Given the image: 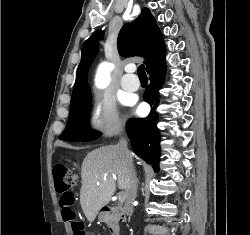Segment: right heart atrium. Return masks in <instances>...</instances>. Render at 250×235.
<instances>
[{"label": "right heart atrium", "mask_w": 250, "mask_h": 235, "mask_svg": "<svg viewBox=\"0 0 250 235\" xmlns=\"http://www.w3.org/2000/svg\"><path fill=\"white\" fill-rule=\"evenodd\" d=\"M90 127L93 131L105 135H117L125 130L115 104L106 97L95 99L89 117Z\"/></svg>", "instance_id": "right-heart-atrium-1"}]
</instances>
